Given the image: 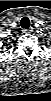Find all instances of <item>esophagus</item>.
<instances>
[{
  "label": "esophagus",
  "mask_w": 51,
  "mask_h": 101,
  "mask_svg": "<svg viewBox=\"0 0 51 101\" xmlns=\"http://www.w3.org/2000/svg\"><path fill=\"white\" fill-rule=\"evenodd\" d=\"M32 31H33V28L30 27V28H28V29H24V30H23V33L29 34V33H31Z\"/></svg>",
  "instance_id": "34e87169"
}]
</instances>
